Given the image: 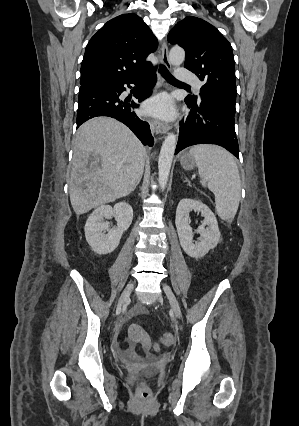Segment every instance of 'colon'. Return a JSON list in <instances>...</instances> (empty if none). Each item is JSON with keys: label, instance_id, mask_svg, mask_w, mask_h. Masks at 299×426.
I'll list each match as a JSON object with an SVG mask.
<instances>
[{"label": "colon", "instance_id": "colon-1", "mask_svg": "<svg viewBox=\"0 0 299 426\" xmlns=\"http://www.w3.org/2000/svg\"><path fill=\"white\" fill-rule=\"evenodd\" d=\"M128 336L131 341L136 343H141L147 348L152 345V341L150 337L145 333L143 328L138 324H132L129 327ZM173 342H174L173 336L170 333H165L160 337L159 344L156 345V348L157 349L161 347L168 348L173 344ZM136 395L140 400L146 401L151 396V389L145 382H141L137 387Z\"/></svg>", "mask_w": 299, "mask_h": 426}]
</instances>
